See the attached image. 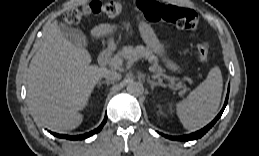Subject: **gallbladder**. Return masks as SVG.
Masks as SVG:
<instances>
[{
    "label": "gallbladder",
    "mask_w": 259,
    "mask_h": 156,
    "mask_svg": "<svg viewBox=\"0 0 259 156\" xmlns=\"http://www.w3.org/2000/svg\"><path fill=\"white\" fill-rule=\"evenodd\" d=\"M60 30L62 35L72 44L80 47L87 46V37L81 30L66 25H61Z\"/></svg>",
    "instance_id": "gallbladder-1"
}]
</instances>
